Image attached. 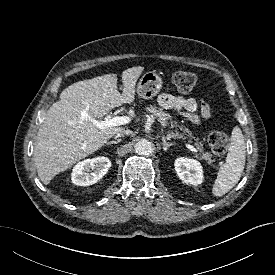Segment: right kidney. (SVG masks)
I'll return each instance as SVG.
<instances>
[{
	"label": "right kidney",
	"instance_id": "ca27d5eb",
	"mask_svg": "<svg viewBox=\"0 0 275 275\" xmlns=\"http://www.w3.org/2000/svg\"><path fill=\"white\" fill-rule=\"evenodd\" d=\"M111 167L107 157H95L83 160L75 165L71 180L78 186H89L98 182Z\"/></svg>",
	"mask_w": 275,
	"mask_h": 275
}]
</instances>
